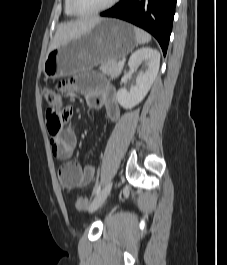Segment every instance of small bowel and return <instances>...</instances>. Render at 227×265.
I'll use <instances>...</instances> for the list:
<instances>
[{"label": "small bowel", "mask_w": 227, "mask_h": 265, "mask_svg": "<svg viewBox=\"0 0 227 265\" xmlns=\"http://www.w3.org/2000/svg\"><path fill=\"white\" fill-rule=\"evenodd\" d=\"M101 76L100 72H79V76L69 81H62V87L66 92L85 94L91 108H104L107 117L112 122H116L121 112L116 101L115 89ZM50 145L53 155L57 159L66 161L58 171L60 184L66 191L86 186L93 180L94 166H81L69 160L76 147V136L71 129L51 135Z\"/></svg>", "instance_id": "small-bowel-1"}]
</instances>
